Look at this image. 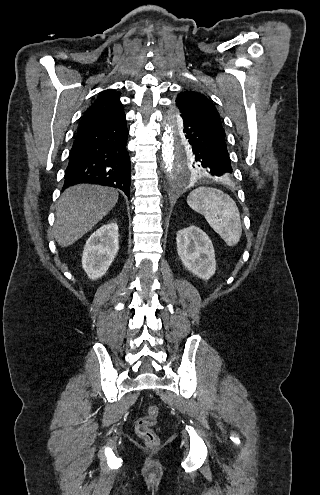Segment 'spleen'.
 Segmentation results:
<instances>
[{"label":"spleen","mask_w":320,"mask_h":495,"mask_svg":"<svg viewBox=\"0 0 320 495\" xmlns=\"http://www.w3.org/2000/svg\"><path fill=\"white\" fill-rule=\"evenodd\" d=\"M187 203L205 217L210 227L228 246H235L240 241V213L228 194L215 188L199 187L188 195Z\"/></svg>","instance_id":"1"}]
</instances>
